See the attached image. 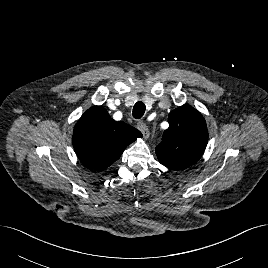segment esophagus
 I'll use <instances>...</instances> for the list:
<instances>
[{
    "mask_svg": "<svg viewBox=\"0 0 268 268\" xmlns=\"http://www.w3.org/2000/svg\"><path fill=\"white\" fill-rule=\"evenodd\" d=\"M137 127L142 132L143 137L145 139L149 138L150 132L148 130V127L146 126V124L143 121H138L137 122Z\"/></svg>",
    "mask_w": 268,
    "mask_h": 268,
    "instance_id": "34e87169",
    "label": "esophagus"
}]
</instances>
